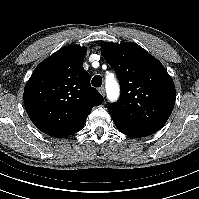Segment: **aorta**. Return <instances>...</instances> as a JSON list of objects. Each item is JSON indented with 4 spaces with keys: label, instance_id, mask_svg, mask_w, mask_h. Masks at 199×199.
<instances>
[{
    "label": "aorta",
    "instance_id": "762f6f07",
    "mask_svg": "<svg viewBox=\"0 0 199 199\" xmlns=\"http://www.w3.org/2000/svg\"><path fill=\"white\" fill-rule=\"evenodd\" d=\"M106 92H107V98L111 101L114 102L118 99L120 89L119 85L116 80L107 78L106 80Z\"/></svg>",
    "mask_w": 199,
    "mask_h": 199
}]
</instances>
